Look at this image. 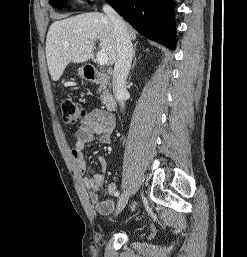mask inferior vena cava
Here are the masks:
<instances>
[{
    "mask_svg": "<svg viewBox=\"0 0 247 257\" xmlns=\"http://www.w3.org/2000/svg\"><path fill=\"white\" fill-rule=\"evenodd\" d=\"M103 11L114 26L117 42V57L113 71V93L119 105L124 108L125 100L128 95L126 79L133 57V45L127 26L120 15L109 4L103 6Z\"/></svg>",
    "mask_w": 247,
    "mask_h": 257,
    "instance_id": "inferior-vena-cava-1",
    "label": "inferior vena cava"
}]
</instances>
